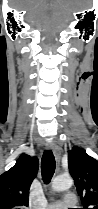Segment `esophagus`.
I'll return each instance as SVG.
<instances>
[{
    "label": "esophagus",
    "mask_w": 98,
    "mask_h": 209,
    "mask_svg": "<svg viewBox=\"0 0 98 209\" xmlns=\"http://www.w3.org/2000/svg\"><path fill=\"white\" fill-rule=\"evenodd\" d=\"M46 147H47V149L52 150V152H53V154L55 156L57 165L59 166L60 159H61V151H60V148L58 146H56L54 143H52V142L47 143L46 144Z\"/></svg>",
    "instance_id": "obj_1"
}]
</instances>
